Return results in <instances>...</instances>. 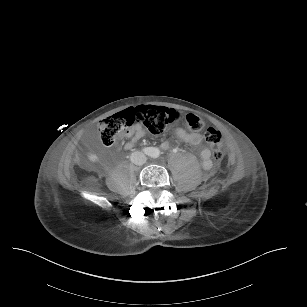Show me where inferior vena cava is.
I'll list each match as a JSON object with an SVG mask.
<instances>
[{"instance_id":"obj_1","label":"inferior vena cava","mask_w":307,"mask_h":307,"mask_svg":"<svg viewBox=\"0 0 307 307\" xmlns=\"http://www.w3.org/2000/svg\"><path fill=\"white\" fill-rule=\"evenodd\" d=\"M146 156L144 153L140 151L133 152L131 154V162H133L136 165H143L146 162Z\"/></svg>"}]
</instances>
